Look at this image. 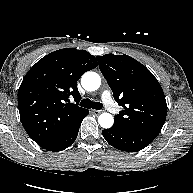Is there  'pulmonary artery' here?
<instances>
[{"instance_id": "e3ab8cb5", "label": "pulmonary artery", "mask_w": 193, "mask_h": 193, "mask_svg": "<svg viewBox=\"0 0 193 193\" xmlns=\"http://www.w3.org/2000/svg\"><path fill=\"white\" fill-rule=\"evenodd\" d=\"M102 99L110 109H114L110 91L105 90L102 93Z\"/></svg>"}]
</instances>
